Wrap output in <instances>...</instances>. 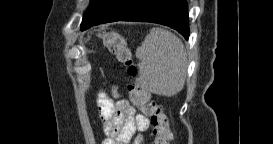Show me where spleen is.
<instances>
[{"mask_svg": "<svg viewBox=\"0 0 273 144\" xmlns=\"http://www.w3.org/2000/svg\"><path fill=\"white\" fill-rule=\"evenodd\" d=\"M135 55L140 60L137 81L147 91L170 97L183 89L187 54L176 35L154 27L136 49Z\"/></svg>", "mask_w": 273, "mask_h": 144, "instance_id": "3e777b00", "label": "spleen"}]
</instances>
